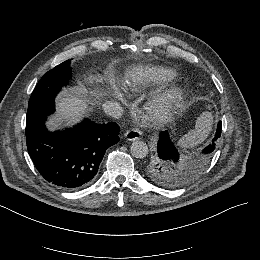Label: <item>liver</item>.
Instances as JSON below:
<instances>
[{"label":"liver","instance_id":"liver-1","mask_svg":"<svg viewBox=\"0 0 260 260\" xmlns=\"http://www.w3.org/2000/svg\"><path fill=\"white\" fill-rule=\"evenodd\" d=\"M75 92L71 88H63L56 97L57 113L48 118L46 126L48 130L54 131L63 126H71L82 120L83 115L89 110V101L83 98L86 90L79 87ZM66 121L63 124V121Z\"/></svg>","mask_w":260,"mask_h":260}]
</instances>
